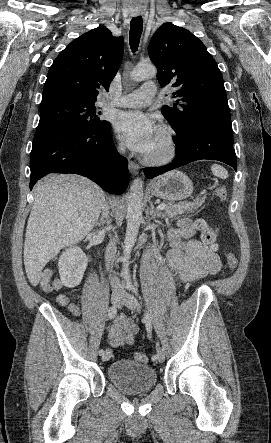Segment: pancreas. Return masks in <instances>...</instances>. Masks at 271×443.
I'll list each match as a JSON object with an SVG mask.
<instances>
[{
    "label": "pancreas",
    "mask_w": 271,
    "mask_h": 443,
    "mask_svg": "<svg viewBox=\"0 0 271 443\" xmlns=\"http://www.w3.org/2000/svg\"><path fill=\"white\" fill-rule=\"evenodd\" d=\"M205 202L204 198H196L194 202H179V204H174V202H168L162 216H168V218H176V216H181V214H192V210H197Z\"/></svg>",
    "instance_id": "pancreas-1"
}]
</instances>
